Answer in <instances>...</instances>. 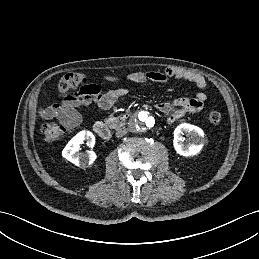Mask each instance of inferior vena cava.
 <instances>
[{"mask_svg":"<svg viewBox=\"0 0 259 259\" xmlns=\"http://www.w3.org/2000/svg\"><path fill=\"white\" fill-rule=\"evenodd\" d=\"M128 132V129L125 127H119L116 129V137L117 138H121L123 136H125Z\"/></svg>","mask_w":259,"mask_h":259,"instance_id":"1","label":"inferior vena cava"}]
</instances>
